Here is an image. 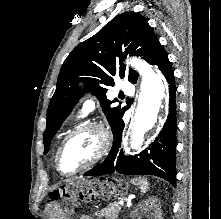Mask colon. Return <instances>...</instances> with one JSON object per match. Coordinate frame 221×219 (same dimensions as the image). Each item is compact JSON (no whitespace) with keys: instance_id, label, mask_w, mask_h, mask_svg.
<instances>
[{"instance_id":"5ec220e1","label":"colon","mask_w":221,"mask_h":219,"mask_svg":"<svg viewBox=\"0 0 221 219\" xmlns=\"http://www.w3.org/2000/svg\"><path fill=\"white\" fill-rule=\"evenodd\" d=\"M66 202H67L66 206L69 207V206H70V204H69V199L66 200Z\"/></svg>"}]
</instances>
